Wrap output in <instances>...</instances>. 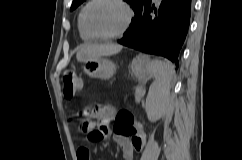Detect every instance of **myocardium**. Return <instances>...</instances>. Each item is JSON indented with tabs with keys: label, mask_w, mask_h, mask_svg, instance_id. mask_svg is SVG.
I'll return each mask as SVG.
<instances>
[{
	"label": "myocardium",
	"mask_w": 242,
	"mask_h": 160,
	"mask_svg": "<svg viewBox=\"0 0 242 160\" xmlns=\"http://www.w3.org/2000/svg\"><path fill=\"white\" fill-rule=\"evenodd\" d=\"M98 0H89L86 5L83 7L81 13H80V22H81V26L83 28V30L87 33L88 36H90L93 39H101V40H111V39H116L119 38L121 36H123L130 28L132 21H133V17H134V12L131 8V6L129 5V3L126 0H114L115 2H117L118 4H120L123 9L125 10L126 13V20L125 23L123 25V27L115 32V33H110V34H95L93 32H91L89 30V28L86 25L85 22V15H86V11L87 9L95 2H97Z\"/></svg>",
	"instance_id": "obj_1"
}]
</instances>
